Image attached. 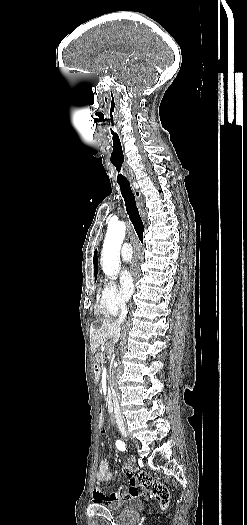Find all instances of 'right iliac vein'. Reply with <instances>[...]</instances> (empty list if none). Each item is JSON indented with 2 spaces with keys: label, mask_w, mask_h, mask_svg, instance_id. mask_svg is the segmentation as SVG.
Instances as JSON below:
<instances>
[{
  "label": "right iliac vein",
  "mask_w": 247,
  "mask_h": 525,
  "mask_svg": "<svg viewBox=\"0 0 247 525\" xmlns=\"http://www.w3.org/2000/svg\"><path fill=\"white\" fill-rule=\"evenodd\" d=\"M119 430L124 437H128V433L123 425L119 426Z\"/></svg>",
  "instance_id": "right-iliac-vein-1"
}]
</instances>
